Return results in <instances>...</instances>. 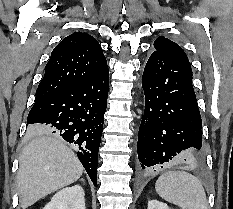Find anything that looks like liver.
<instances>
[{
	"label": "liver",
	"mask_w": 233,
	"mask_h": 209,
	"mask_svg": "<svg viewBox=\"0 0 233 209\" xmlns=\"http://www.w3.org/2000/svg\"><path fill=\"white\" fill-rule=\"evenodd\" d=\"M36 134L23 149L17 176L21 207L26 209L41 198L77 181L83 166L74 152L45 127L29 128Z\"/></svg>",
	"instance_id": "obj_1"
}]
</instances>
